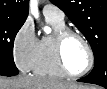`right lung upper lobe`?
<instances>
[{
  "label": "right lung upper lobe",
  "instance_id": "obj_1",
  "mask_svg": "<svg viewBox=\"0 0 107 89\" xmlns=\"http://www.w3.org/2000/svg\"><path fill=\"white\" fill-rule=\"evenodd\" d=\"M28 16V0H0V18L25 21Z\"/></svg>",
  "mask_w": 107,
  "mask_h": 89
}]
</instances>
